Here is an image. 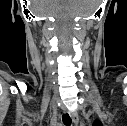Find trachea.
<instances>
[{"label":"trachea","instance_id":"3493384b","mask_svg":"<svg viewBox=\"0 0 127 126\" xmlns=\"http://www.w3.org/2000/svg\"><path fill=\"white\" fill-rule=\"evenodd\" d=\"M62 120H63L64 125H66V126H70L71 125L72 121H71L70 116L67 113L63 114Z\"/></svg>","mask_w":127,"mask_h":126}]
</instances>
